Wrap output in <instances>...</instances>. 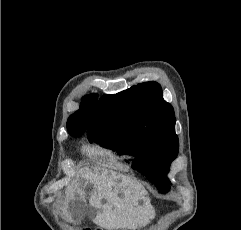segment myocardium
<instances>
[{
  "label": "myocardium",
  "mask_w": 241,
  "mask_h": 230,
  "mask_svg": "<svg viewBox=\"0 0 241 230\" xmlns=\"http://www.w3.org/2000/svg\"><path fill=\"white\" fill-rule=\"evenodd\" d=\"M136 157H135V155H130L129 156V159H131V160H134Z\"/></svg>",
  "instance_id": "obj_1"
}]
</instances>
